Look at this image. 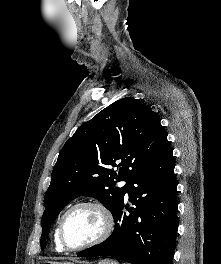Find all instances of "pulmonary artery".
<instances>
[{
    "instance_id": "e3ab8cb5",
    "label": "pulmonary artery",
    "mask_w": 221,
    "mask_h": 264,
    "mask_svg": "<svg viewBox=\"0 0 221 264\" xmlns=\"http://www.w3.org/2000/svg\"><path fill=\"white\" fill-rule=\"evenodd\" d=\"M121 184H122V185H125V184H126V181H123Z\"/></svg>"
}]
</instances>
